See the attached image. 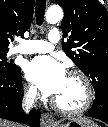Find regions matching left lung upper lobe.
Wrapping results in <instances>:
<instances>
[{
    "label": "left lung upper lobe",
    "mask_w": 108,
    "mask_h": 127,
    "mask_svg": "<svg viewBox=\"0 0 108 127\" xmlns=\"http://www.w3.org/2000/svg\"><path fill=\"white\" fill-rule=\"evenodd\" d=\"M66 55L92 80L97 98H108V12L97 0H56Z\"/></svg>",
    "instance_id": "obj_1"
}]
</instances>
